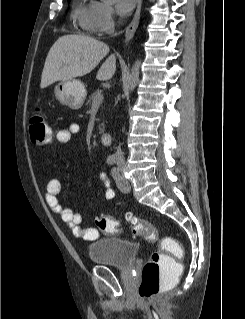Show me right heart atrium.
<instances>
[{
    "mask_svg": "<svg viewBox=\"0 0 245 319\" xmlns=\"http://www.w3.org/2000/svg\"><path fill=\"white\" fill-rule=\"evenodd\" d=\"M114 25L115 21L112 7L102 2H96L93 31L109 33L114 29Z\"/></svg>",
    "mask_w": 245,
    "mask_h": 319,
    "instance_id": "d8ad5b80",
    "label": "right heart atrium"
}]
</instances>
